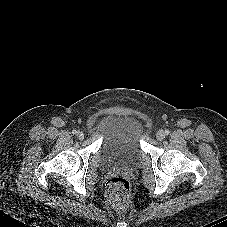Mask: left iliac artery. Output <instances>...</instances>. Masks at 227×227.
Returning a JSON list of instances; mask_svg holds the SVG:
<instances>
[{"mask_svg": "<svg viewBox=\"0 0 227 227\" xmlns=\"http://www.w3.org/2000/svg\"><path fill=\"white\" fill-rule=\"evenodd\" d=\"M170 133L169 130H165V134L168 135Z\"/></svg>", "mask_w": 227, "mask_h": 227, "instance_id": "left-iliac-artery-1", "label": "left iliac artery"}]
</instances>
